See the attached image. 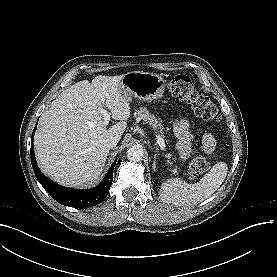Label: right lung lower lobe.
<instances>
[{
	"instance_id": "1",
	"label": "right lung lower lobe",
	"mask_w": 277,
	"mask_h": 277,
	"mask_svg": "<svg viewBox=\"0 0 277 277\" xmlns=\"http://www.w3.org/2000/svg\"><path fill=\"white\" fill-rule=\"evenodd\" d=\"M37 126V124H36ZM36 126L32 133V140H31V163L35 173L37 180L43 186V188L59 203L69 207L75 208H85L95 206L100 204L108 195L109 188L113 181V169L116 164V161L110 167L107 175L105 176L104 180L96 187L91 188L89 190H79V189H72L66 188L56 184L55 182L51 181L47 178L38 168L35 154H34V146H33V139L36 130Z\"/></svg>"
}]
</instances>
